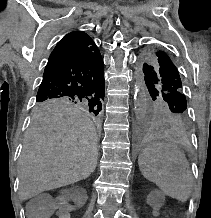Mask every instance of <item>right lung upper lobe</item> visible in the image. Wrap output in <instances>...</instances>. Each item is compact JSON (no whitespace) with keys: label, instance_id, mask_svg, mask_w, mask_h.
Wrapping results in <instances>:
<instances>
[{"label":"right lung upper lobe","instance_id":"cb5924a9","mask_svg":"<svg viewBox=\"0 0 211 218\" xmlns=\"http://www.w3.org/2000/svg\"><path fill=\"white\" fill-rule=\"evenodd\" d=\"M99 53L93 40L82 31H74L63 37L52 51L45 69L81 57Z\"/></svg>","mask_w":211,"mask_h":218}]
</instances>
